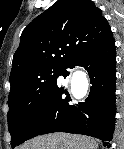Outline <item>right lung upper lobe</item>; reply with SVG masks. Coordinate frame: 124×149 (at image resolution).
I'll return each mask as SVG.
<instances>
[{
    "label": "right lung upper lobe",
    "instance_id": "cb5924a9",
    "mask_svg": "<svg viewBox=\"0 0 124 149\" xmlns=\"http://www.w3.org/2000/svg\"><path fill=\"white\" fill-rule=\"evenodd\" d=\"M113 38L101 10L91 0H58L24 29L13 56L11 88L45 68H64Z\"/></svg>",
    "mask_w": 124,
    "mask_h": 149
}]
</instances>
